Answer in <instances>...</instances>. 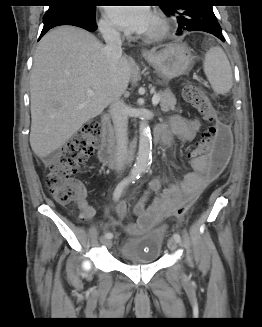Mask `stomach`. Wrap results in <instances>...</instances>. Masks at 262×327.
Masks as SVG:
<instances>
[{
  "mask_svg": "<svg viewBox=\"0 0 262 327\" xmlns=\"http://www.w3.org/2000/svg\"><path fill=\"white\" fill-rule=\"evenodd\" d=\"M144 57L164 82L186 74L193 66L191 50L182 44L167 45Z\"/></svg>",
  "mask_w": 262,
  "mask_h": 327,
  "instance_id": "obj_1",
  "label": "stomach"
}]
</instances>
